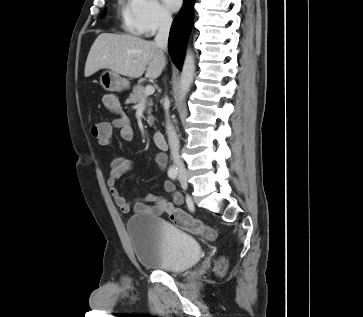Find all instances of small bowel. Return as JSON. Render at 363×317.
I'll return each instance as SVG.
<instances>
[{"label": "small bowel", "mask_w": 363, "mask_h": 317, "mask_svg": "<svg viewBox=\"0 0 363 317\" xmlns=\"http://www.w3.org/2000/svg\"><path fill=\"white\" fill-rule=\"evenodd\" d=\"M103 105L117 116L108 123H104L100 135L95 136L100 145L108 146L112 142L113 132L117 130L119 136L124 141H131L134 138V131L128 119L121 113L120 102L116 95L106 94L102 98ZM156 164L160 169L166 166V159L162 155L155 157ZM135 163L123 156H117L110 163V173L107 178V185L115 204L123 213H129L132 210L136 213L150 214L161 216L168 213L169 207L180 205L183 202V195L176 192L174 185L170 181L164 182V190L171 194V201L166 200L158 195L147 193L142 197L128 201L118 190L116 183L120 176L133 169Z\"/></svg>", "instance_id": "obj_1"}]
</instances>
